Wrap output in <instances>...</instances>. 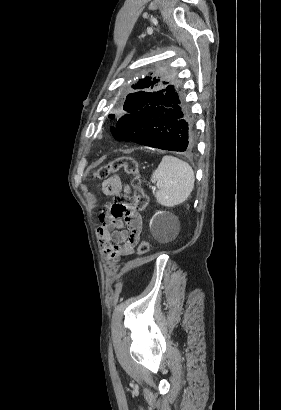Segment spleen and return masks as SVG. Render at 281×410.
Segmentation results:
<instances>
[{"mask_svg":"<svg viewBox=\"0 0 281 410\" xmlns=\"http://www.w3.org/2000/svg\"><path fill=\"white\" fill-rule=\"evenodd\" d=\"M151 181L158 188L153 189L157 202L167 207L176 206L190 196L194 188V172L188 163L166 155L153 172Z\"/></svg>","mask_w":281,"mask_h":410,"instance_id":"obj_1","label":"spleen"}]
</instances>
